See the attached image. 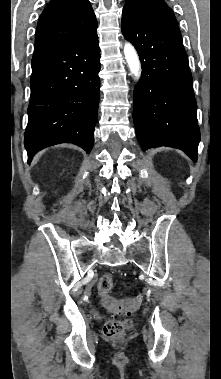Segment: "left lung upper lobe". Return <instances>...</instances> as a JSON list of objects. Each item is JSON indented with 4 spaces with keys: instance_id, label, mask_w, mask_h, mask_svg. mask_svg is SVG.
Returning a JSON list of instances; mask_svg holds the SVG:
<instances>
[{
    "instance_id": "1",
    "label": "left lung upper lobe",
    "mask_w": 221,
    "mask_h": 379,
    "mask_svg": "<svg viewBox=\"0 0 221 379\" xmlns=\"http://www.w3.org/2000/svg\"><path fill=\"white\" fill-rule=\"evenodd\" d=\"M135 4L145 15L163 23L177 25L171 8L163 0H127L126 4Z\"/></svg>"
}]
</instances>
